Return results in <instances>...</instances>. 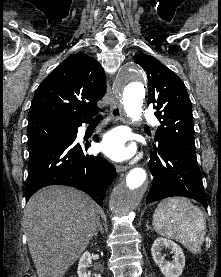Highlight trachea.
<instances>
[{
    "instance_id": "1",
    "label": "trachea",
    "mask_w": 221,
    "mask_h": 277,
    "mask_svg": "<svg viewBox=\"0 0 221 277\" xmlns=\"http://www.w3.org/2000/svg\"><path fill=\"white\" fill-rule=\"evenodd\" d=\"M101 118H102L101 115L95 117V119H101Z\"/></svg>"
}]
</instances>
